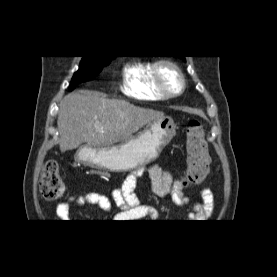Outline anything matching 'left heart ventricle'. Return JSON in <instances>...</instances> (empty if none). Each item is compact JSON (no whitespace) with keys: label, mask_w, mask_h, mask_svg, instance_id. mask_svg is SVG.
Returning <instances> with one entry per match:
<instances>
[{"label":"left heart ventricle","mask_w":277,"mask_h":277,"mask_svg":"<svg viewBox=\"0 0 277 277\" xmlns=\"http://www.w3.org/2000/svg\"><path fill=\"white\" fill-rule=\"evenodd\" d=\"M160 74L165 87L172 92L179 90L180 80L174 70L168 66H162Z\"/></svg>","instance_id":"obj_1"}]
</instances>
